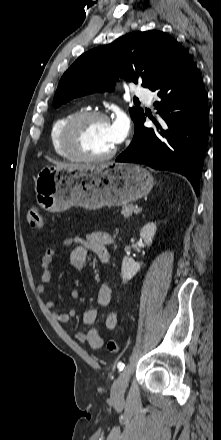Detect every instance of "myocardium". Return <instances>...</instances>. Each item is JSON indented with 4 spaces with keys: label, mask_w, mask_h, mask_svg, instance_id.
<instances>
[{
    "label": "myocardium",
    "mask_w": 221,
    "mask_h": 440,
    "mask_svg": "<svg viewBox=\"0 0 221 440\" xmlns=\"http://www.w3.org/2000/svg\"><path fill=\"white\" fill-rule=\"evenodd\" d=\"M94 118L110 122L109 116L102 111L84 110L72 116L64 125L62 130V146L72 159L86 162H100L109 160L116 154V145L110 151L102 155H89L78 147L77 132L79 127L86 120Z\"/></svg>",
    "instance_id": "myocardium-1"
}]
</instances>
